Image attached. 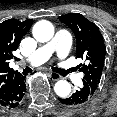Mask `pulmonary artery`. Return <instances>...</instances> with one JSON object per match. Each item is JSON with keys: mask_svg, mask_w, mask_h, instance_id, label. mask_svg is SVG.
<instances>
[{"mask_svg": "<svg viewBox=\"0 0 117 117\" xmlns=\"http://www.w3.org/2000/svg\"><path fill=\"white\" fill-rule=\"evenodd\" d=\"M71 46V36L65 30H58L54 38L46 45L37 49L29 58L32 65H40L46 62L53 54L58 57H66L69 53ZM74 82L81 83L82 76L75 75Z\"/></svg>", "mask_w": 117, "mask_h": 117, "instance_id": "obj_1", "label": "pulmonary artery"}]
</instances>
